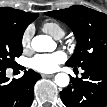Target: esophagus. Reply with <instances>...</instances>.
Listing matches in <instances>:
<instances>
[{
	"label": "esophagus",
	"mask_w": 107,
	"mask_h": 107,
	"mask_svg": "<svg viewBox=\"0 0 107 107\" xmlns=\"http://www.w3.org/2000/svg\"><path fill=\"white\" fill-rule=\"evenodd\" d=\"M43 78H52L54 77V74H42Z\"/></svg>",
	"instance_id": "34e87169"
}]
</instances>
